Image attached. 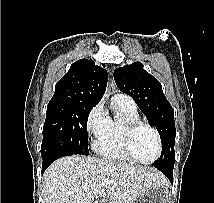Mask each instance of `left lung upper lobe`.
Instances as JSON below:
<instances>
[{
  "label": "left lung upper lobe",
  "instance_id": "obj_1",
  "mask_svg": "<svg viewBox=\"0 0 214 203\" xmlns=\"http://www.w3.org/2000/svg\"><path fill=\"white\" fill-rule=\"evenodd\" d=\"M114 79L117 87L134 99L149 124L154 125L159 132L162 152L154 162V167L174 166V110L166 99L160 82L143 69L141 62L115 69Z\"/></svg>",
  "mask_w": 214,
  "mask_h": 203
}]
</instances>
